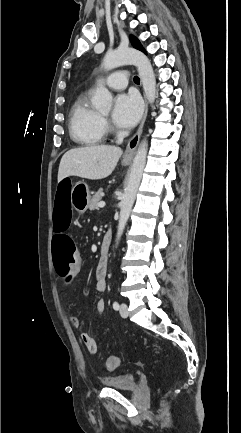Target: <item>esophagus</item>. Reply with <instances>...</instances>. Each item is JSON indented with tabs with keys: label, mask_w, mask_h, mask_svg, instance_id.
Listing matches in <instances>:
<instances>
[{
	"label": "esophagus",
	"mask_w": 241,
	"mask_h": 433,
	"mask_svg": "<svg viewBox=\"0 0 241 433\" xmlns=\"http://www.w3.org/2000/svg\"><path fill=\"white\" fill-rule=\"evenodd\" d=\"M147 112H148V103L146 100V97L144 96V113H143V117L140 123V126L137 130V132L135 133V135L129 140L126 150L124 152L123 155V159L124 160H131L135 154V150L138 146L139 140H140V136L142 134V130H143V126L147 117Z\"/></svg>",
	"instance_id": "34e87169"
}]
</instances>
